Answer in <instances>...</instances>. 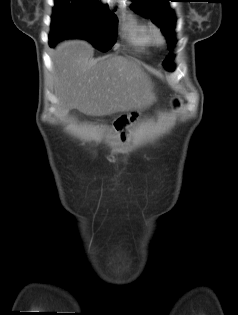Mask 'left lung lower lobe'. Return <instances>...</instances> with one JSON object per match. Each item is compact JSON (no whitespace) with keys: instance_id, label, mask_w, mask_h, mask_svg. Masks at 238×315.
I'll list each match as a JSON object with an SVG mask.
<instances>
[{"instance_id":"1","label":"left lung lower lobe","mask_w":238,"mask_h":315,"mask_svg":"<svg viewBox=\"0 0 238 315\" xmlns=\"http://www.w3.org/2000/svg\"><path fill=\"white\" fill-rule=\"evenodd\" d=\"M176 41L175 38H172L169 42H168V49H172L173 46L175 45ZM173 58V56H172ZM170 71V70H169Z\"/></svg>"}]
</instances>
